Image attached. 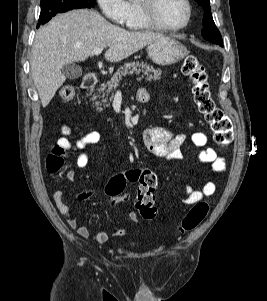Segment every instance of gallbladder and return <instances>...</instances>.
<instances>
[{
    "label": "gallbladder",
    "mask_w": 267,
    "mask_h": 301,
    "mask_svg": "<svg viewBox=\"0 0 267 301\" xmlns=\"http://www.w3.org/2000/svg\"><path fill=\"white\" fill-rule=\"evenodd\" d=\"M62 73L71 80L78 79L82 76V69L75 63H69L63 66Z\"/></svg>",
    "instance_id": "gallbladder-1"
}]
</instances>
